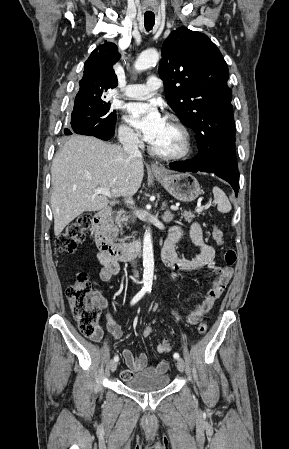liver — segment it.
<instances>
[{
    "label": "liver",
    "instance_id": "liver-1",
    "mask_svg": "<svg viewBox=\"0 0 289 449\" xmlns=\"http://www.w3.org/2000/svg\"><path fill=\"white\" fill-rule=\"evenodd\" d=\"M143 175L142 159L131 158L120 146L90 136L70 137L51 168L55 236L83 212L108 206V196L95 189L106 187L111 197H129L138 191Z\"/></svg>",
    "mask_w": 289,
    "mask_h": 449
}]
</instances>
